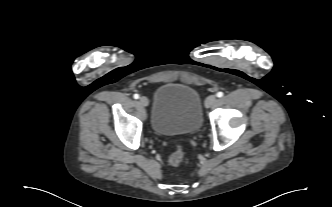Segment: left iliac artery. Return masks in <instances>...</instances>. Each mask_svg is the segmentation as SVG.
Listing matches in <instances>:
<instances>
[{
    "label": "left iliac artery",
    "mask_w": 332,
    "mask_h": 207,
    "mask_svg": "<svg viewBox=\"0 0 332 207\" xmlns=\"http://www.w3.org/2000/svg\"><path fill=\"white\" fill-rule=\"evenodd\" d=\"M223 95H224L223 92H218V93H217V97H219V98L223 97Z\"/></svg>",
    "instance_id": "obj_1"
}]
</instances>
